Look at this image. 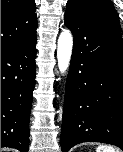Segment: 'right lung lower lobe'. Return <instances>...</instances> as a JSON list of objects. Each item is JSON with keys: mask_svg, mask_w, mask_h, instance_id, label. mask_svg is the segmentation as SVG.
Segmentation results:
<instances>
[{"mask_svg": "<svg viewBox=\"0 0 123 152\" xmlns=\"http://www.w3.org/2000/svg\"><path fill=\"white\" fill-rule=\"evenodd\" d=\"M36 36L1 49V147L29 148V118L35 86Z\"/></svg>", "mask_w": 123, "mask_h": 152, "instance_id": "obj_1", "label": "right lung lower lobe"}]
</instances>
